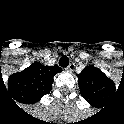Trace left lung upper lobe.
<instances>
[{
  "label": "left lung upper lobe",
  "instance_id": "left-lung-upper-lobe-1",
  "mask_svg": "<svg viewBox=\"0 0 124 124\" xmlns=\"http://www.w3.org/2000/svg\"><path fill=\"white\" fill-rule=\"evenodd\" d=\"M78 76L80 92L84 97L94 98L106 86V80L97 68L87 67Z\"/></svg>",
  "mask_w": 124,
  "mask_h": 124
}]
</instances>
